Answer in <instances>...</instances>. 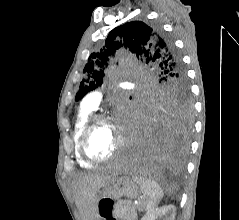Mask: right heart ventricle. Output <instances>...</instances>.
Instances as JSON below:
<instances>
[{
	"mask_svg": "<svg viewBox=\"0 0 239 220\" xmlns=\"http://www.w3.org/2000/svg\"><path fill=\"white\" fill-rule=\"evenodd\" d=\"M91 111L92 110L82 107L77 113L74 129H73L74 152H75L78 164L84 168H90L93 165L92 163H90L89 161L83 158L80 152V146H79V140H80L82 129L85 126L86 122L88 121Z\"/></svg>",
	"mask_w": 239,
	"mask_h": 220,
	"instance_id": "e07e8e85",
	"label": "right heart ventricle"
}]
</instances>
